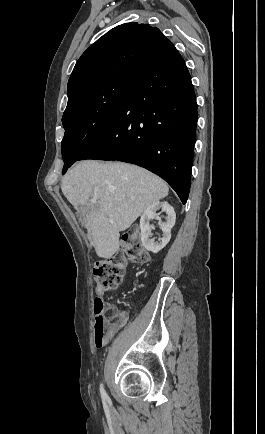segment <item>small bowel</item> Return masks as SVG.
<instances>
[{"label": "small bowel", "instance_id": "1", "mask_svg": "<svg viewBox=\"0 0 265 434\" xmlns=\"http://www.w3.org/2000/svg\"><path fill=\"white\" fill-rule=\"evenodd\" d=\"M109 308L115 309L113 306H109ZM117 313L119 315V325L112 327V334L114 332H116L118 329H120L122 326H124L126 324V322H127V316H126V314L124 312H118L117 311Z\"/></svg>", "mask_w": 265, "mask_h": 434}]
</instances>
